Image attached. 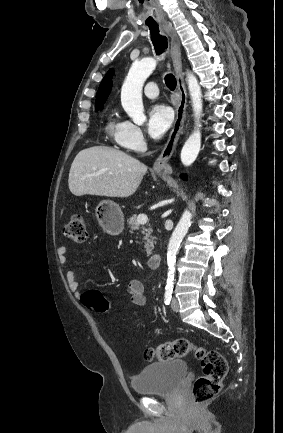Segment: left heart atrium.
I'll return each instance as SVG.
<instances>
[{"instance_id": "39dd6f15", "label": "left heart atrium", "mask_w": 283, "mask_h": 433, "mask_svg": "<svg viewBox=\"0 0 283 433\" xmlns=\"http://www.w3.org/2000/svg\"><path fill=\"white\" fill-rule=\"evenodd\" d=\"M172 122L171 110L161 104L153 105L149 110L148 133L151 138L161 139L167 132Z\"/></svg>"}]
</instances>
